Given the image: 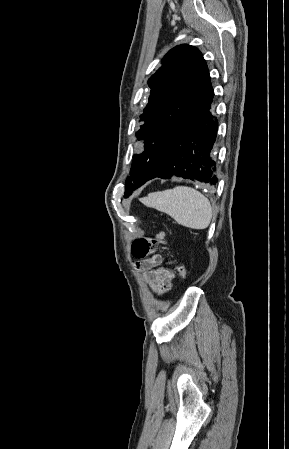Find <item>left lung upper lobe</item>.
Segmentation results:
<instances>
[{"label": "left lung upper lobe", "mask_w": 289, "mask_h": 449, "mask_svg": "<svg viewBox=\"0 0 289 449\" xmlns=\"http://www.w3.org/2000/svg\"><path fill=\"white\" fill-rule=\"evenodd\" d=\"M161 64L148 80L150 96L140 116L145 124L136 133L144 140V151L133 156L125 197L161 172L166 137L192 114L210 81L206 62L193 46L174 47Z\"/></svg>", "instance_id": "obj_1"}]
</instances>
